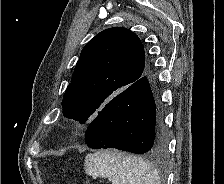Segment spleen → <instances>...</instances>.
<instances>
[{
  "label": "spleen",
  "mask_w": 224,
  "mask_h": 184,
  "mask_svg": "<svg viewBox=\"0 0 224 184\" xmlns=\"http://www.w3.org/2000/svg\"><path fill=\"white\" fill-rule=\"evenodd\" d=\"M84 169L92 177L109 178L112 184H161L158 171L150 163L118 151L88 154Z\"/></svg>",
  "instance_id": "3e777b00"
}]
</instances>
